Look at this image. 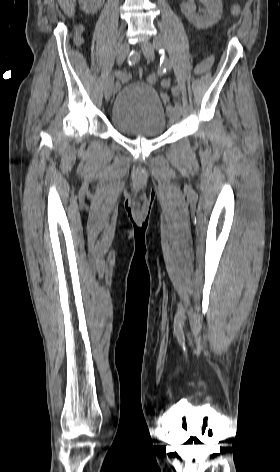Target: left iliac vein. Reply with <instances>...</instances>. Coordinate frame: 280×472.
<instances>
[{"label":"left iliac vein","mask_w":280,"mask_h":472,"mask_svg":"<svg viewBox=\"0 0 280 472\" xmlns=\"http://www.w3.org/2000/svg\"><path fill=\"white\" fill-rule=\"evenodd\" d=\"M141 49H142V52H143L144 56L148 60H150V61L154 60L155 52H154V45L153 44H151L149 41H144L141 44ZM168 115H169V118L173 122H177L180 119V111L172 105L168 106Z\"/></svg>","instance_id":"1"}]
</instances>
